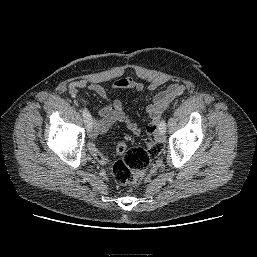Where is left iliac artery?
<instances>
[{
	"mask_svg": "<svg viewBox=\"0 0 257 257\" xmlns=\"http://www.w3.org/2000/svg\"><path fill=\"white\" fill-rule=\"evenodd\" d=\"M159 129L163 130L164 132L166 131V122L163 119L160 123H159Z\"/></svg>",
	"mask_w": 257,
	"mask_h": 257,
	"instance_id": "44dca946",
	"label": "left iliac artery"
}]
</instances>
